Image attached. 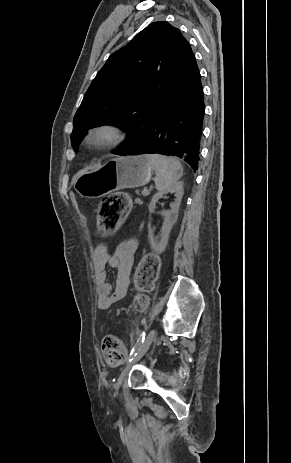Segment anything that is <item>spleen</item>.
<instances>
[{
    "label": "spleen",
    "mask_w": 291,
    "mask_h": 463,
    "mask_svg": "<svg viewBox=\"0 0 291 463\" xmlns=\"http://www.w3.org/2000/svg\"><path fill=\"white\" fill-rule=\"evenodd\" d=\"M145 157L156 171L155 186L157 190L168 189L182 177L183 168L177 159L158 154H150Z\"/></svg>",
    "instance_id": "obj_1"
}]
</instances>
